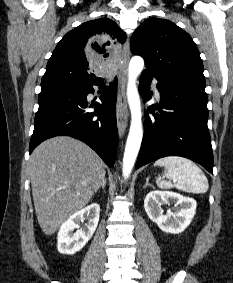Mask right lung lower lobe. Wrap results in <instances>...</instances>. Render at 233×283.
I'll use <instances>...</instances> for the list:
<instances>
[{
	"label": "right lung lower lobe",
	"mask_w": 233,
	"mask_h": 283,
	"mask_svg": "<svg viewBox=\"0 0 233 283\" xmlns=\"http://www.w3.org/2000/svg\"><path fill=\"white\" fill-rule=\"evenodd\" d=\"M93 85L102 87L103 81L42 87L30 153L48 138L67 135L85 142L107 165L113 167L118 144L115 114L117 78L114 79V85L100 97L101 104L87 102V95L94 92ZM90 107H94L95 111L87 112L86 109Z\"/></svg>",
	"instance_id": "right-lung-lower-lobe-1"
}]
</instances>
